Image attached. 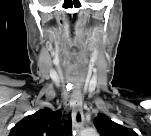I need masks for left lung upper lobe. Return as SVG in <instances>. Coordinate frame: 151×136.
I'll return each instance as SVG.
<instances>
[{"instance_id":"5c2ea615","label":"left lung upper lobe","mask_w":151,"mask_h":136,"mask_svg":"<svg viewBox=\"0 0 151 136\" xmlns=\"http://www.w3.org/2000/svg\"><path fill=\"white\" fill-rule=\"evenodd\" d=\"M94 125L101 136H133L134 131L113 122L105 115H99L94 119Z\"/></svg>"}]
</instances>
